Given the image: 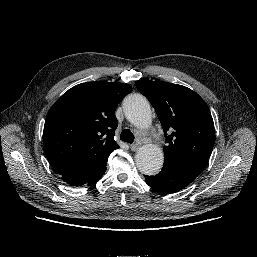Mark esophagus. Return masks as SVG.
I'll list each match as a JSON object with an SVG mask.
<instances>
[{
    "instance_id": "esophagus-1",
    "label": "esophagus",
    "mask_w": 257,
    "mask_h": 257,
    "mask_svg": "<svg viewBox=\"0 0 257 257\" xmlns=\"http://www.w3.org/2000/svg\"><path fill=\"white\" fill-rule=\"evenodd\" d=\"M139 147H140V144H138V143H135V144H131V145H130V149H131L132 151H137V150L139 149Z\"/></svg>"
}]
</instances>
